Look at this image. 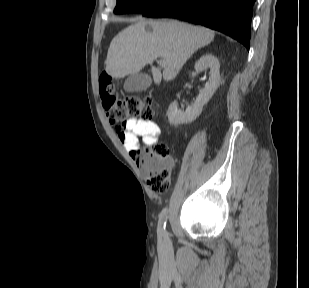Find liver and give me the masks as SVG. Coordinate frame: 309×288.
Here are the masks:
<instances>
[{
    "instance_id": "liver-1",
    "label": "liver",
    "mask_w": 309,
    "mask_h": 288,
    "mask_svg": "<svg viewBox=\"0 0 309 288\" xmlns=\"http://www.w3.org/2000/svg\"><path fill=\"white\" fill-rule=\"evenodd\" d=\"M215 32L176 20L139 19L116 35L110 43L106 73L120 79L138 73L149 64L155 84L162 78L173 80L186 61L200 48L210 44ZM165 61L163 73L154 60Z\"/></svg>"
}]
</instances>
